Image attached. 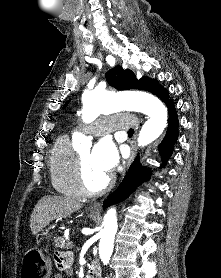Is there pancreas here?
<instances>
[{
    "label": "pancreas",
    "mask_w": 221,
    "mask_h": 278,
    "mask_svg": "<svg viewBox=\"0 0 221 278\" xmlns=\"http://www.w3.org/2000/svg\"><path fill=\"white\" fill-rule=\"evenodd\" d=\"M54 243H55V247L56 248H71L73 245L70 244L69 242H65V238L64 237H57L55 240H54Z\"/></svg>",
    "instance_id": "cf45deb5"
}]
</instances>
